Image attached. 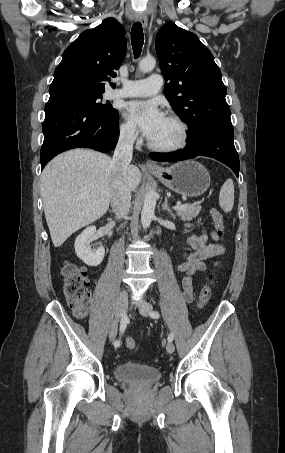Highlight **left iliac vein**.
<instances>
[{
    "mask_svg": "<svg viewBox=\"0 0 285 453\" xmlns=\"http://www.w3.org/2000/svg\"><path fill=\"white\" fill-rule=\"evenodd\" d=\"M152 310V305L147 301H141L139 303V312L143 316H148ZM166 350L169 354H172L175 350L174 344L172 342H168L166 345Z\"/></svg>",
    "mask_w": 285,
    "mask_h": 453,
    "instance_id": "1",
    "label": "left iliac vein"
}]
</instances>
